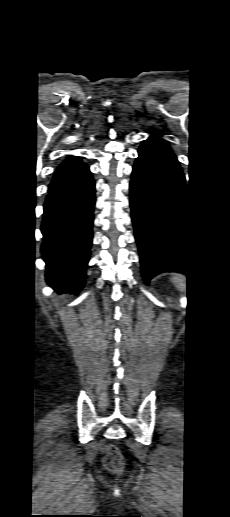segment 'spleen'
<instances>
[{
	"instance_id": "obj_1",
	"label": "spleen",
	"mask_w": 230,
	"mask_h": 517,
	"mask_svg": "<svg viewBox=\"0 0 230 517\" xmlns=\"http://www.w3.org/2000/svg\"><path fill=\"white\" fill-rule=\"evenodd\" d=\"M172 282L175 284V286L180 289L181 291L185 290L186 288V282H185V277L182 276V275H175L173 278H172Z\"/></svg>"
}]
</instances>
